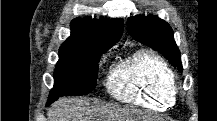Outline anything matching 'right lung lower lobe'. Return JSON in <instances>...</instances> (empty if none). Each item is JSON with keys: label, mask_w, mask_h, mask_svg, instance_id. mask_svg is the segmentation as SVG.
<instances>
[{"label": "right lung lower lobe", "mask_w": 217, "mask_h": 121, "mask_svg": "<svg viewBox=\"0 0 217 121\" xmlns=\"http://www.w3.org/2000/svg\"><path fill=\"white\" fill-rule=\"evenodd\" d=\"M49 104H51V103L47 102V105H49Z\"/></svg>", "instance_id": "right-lung-lower-lobe-1"}]
</instances>
